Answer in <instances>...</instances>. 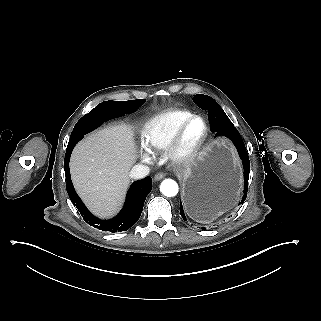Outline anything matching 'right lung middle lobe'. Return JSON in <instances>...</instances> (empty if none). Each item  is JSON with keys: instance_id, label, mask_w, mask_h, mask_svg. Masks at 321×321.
<instances>
[{"instance_id": "obj_1", "label": "right lung middle lobe", "mask_w": 321, "mask_h": 321, "mask_svg": "<svg viewBox=\"0 0 321 321\" xmlns=\"http://www.w3.org/2000/svg\"><path fill=\"white\" fill-rule=\"evenodd\" d=\"M111 103H122V104H133L136 105L137 108H139L143 103H145V99H139V100H130V101H105L100 103L97 107H95L94 109L91 110V112H89L88 114H86L85 116H83L75 125L73 131H72V135H76L78 133H80L81 131L90 128L89 131L94 130L95 128L100 126V123H98L99 119L97 118V115L95 114V111L103 106V105H107V104H111Z\"/></svg>"}]
</instances>
